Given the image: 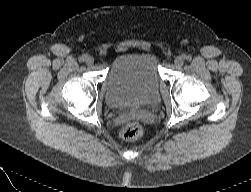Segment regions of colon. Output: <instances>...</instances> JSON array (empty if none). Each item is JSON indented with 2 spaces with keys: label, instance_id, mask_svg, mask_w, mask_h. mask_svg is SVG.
Wrapping results in <instances>:
<instances>
[{
  "label": "colon",
  "instance_id": "5ec220e1",
  "mask_svg": "<svg viewBox=\"0 0 251 192\" xmlns=\"http://www.w3.org/2000/svg\"><path fill=\"white\" fill-rule=\"evenodd\" d=\"M142 135L143 127L137 121L127 124L122 131V136L127 141H135L139 139Z\"/></svg>",
  "mask_w": 251,
  "mask_h": 192
}]
</instances>
